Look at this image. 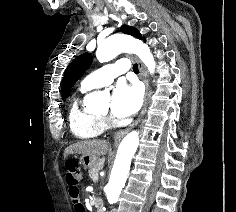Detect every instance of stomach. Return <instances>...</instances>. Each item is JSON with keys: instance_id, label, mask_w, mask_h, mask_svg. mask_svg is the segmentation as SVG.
Here are the masks:
<instances>
[{"instance_id": "0dacf381", "label": "stomach", "mask_w": 236, "mask_h": 212, "mask_svg": "<svg viewBox=\"0 0 236 212\" xmlns=\"http://www.w3.org/2000/svg\"><path fill=\"white\" fill-rule=\"evenodd\" d=\"M99 158L92 155H82L80 158V164L84 168L91 169L98 163Z\"/></svg>"}]
</instances>
